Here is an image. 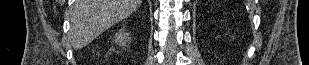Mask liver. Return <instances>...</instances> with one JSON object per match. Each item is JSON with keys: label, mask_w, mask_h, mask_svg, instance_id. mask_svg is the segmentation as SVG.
Wrapping results in <instances>:
<instances>
[{"label": "liver", "mask_w": 309, "mask_h": 65, "mask_svg": "<svg viewBox=\"0 0 309 65\" xmlns=\"http://www.w3.org/2000/svg\"><path fill=\"white\" fill-rule=\"evenodd\" d=\"M142 0H76L71 11L70 40L75 49L88 45L101 33L127 18Z\"/></svg>", "instance_id": "liver-1"}]
</instances>
